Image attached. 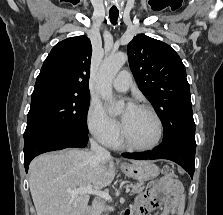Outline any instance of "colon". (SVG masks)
Instances as JSON below:
<instances>
[{
	"mask_svg": "<svg viewBox=\"0 0 223 215\" xmlns=\"http://www.w3.org/2000/svg\"><path fill=\"white\" fill-rule=\"evenodd\" d=\"M164 174L169 178H172V179L176 178V173L174 172L172 168L168 166L164 168Z\"/></svg>",
	"mask_w": 223,
	"mask_h": 215,
	"instance_id": "colon-1",
	"label": "colon"
}]
</instances>
